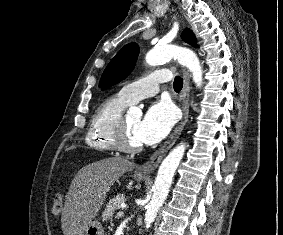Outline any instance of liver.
<instances>
[{"mask_svg": "<svg viewBox=\"0 0 283 235\" xmlns=\"http://www.w3.org/2000/svg\"><path fill=\"white\" fill-rule=\"evenodd\" d=\"M135 164L121 157L93 162L81 168L71 182L61 224L64 235H84L97 216L114 182Z\"/></svg>", "mask_w": 283, "mask_h": 235, "instance_id": "6515ba94", "label": "liver"}]
</instances>
